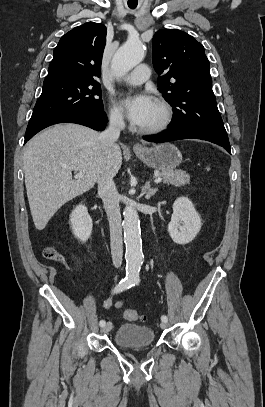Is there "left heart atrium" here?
<instances>
[{
    "mask_svg": "<svg viewBox=\"0 0 265 407\" xmlns=\"http://www.w3.org/2000/svg\"><path fill=\"white\" fill-rule=\"evenodd\" d=\"M154 100L146 93L126 97L122 104L132 123L141 126L148 119L154 107Z\"/></svg>",
    "mask_w": 265,
    "mask_h": 407,
    "instance_id": "left-heart-atrium-1",
    "label": "left heart atrium"
}]
</instances>
